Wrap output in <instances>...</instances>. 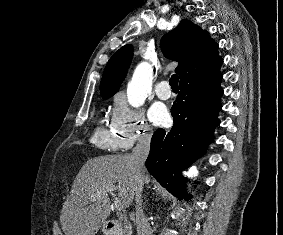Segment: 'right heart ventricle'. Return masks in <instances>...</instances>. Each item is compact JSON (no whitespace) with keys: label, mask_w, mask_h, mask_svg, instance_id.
I'll return each instance as SVG.
<instances>
[{"label":"right heart ventricle","mask_w":283,"mask_h":235,"mask_svg":"<svg viewBox=\"0 0 283 235\" xmlns=\"http://www.w3.org/2000/svg\"><path fill=\"white\" fill-rule=\"evenodd\" d=\"M93 141L98 147L104 149L114 151L118 148L115 133L113 132L111 127H108L104 124H101L95 129Z\"/></svg>","instance_id":"1"}]
</instances>
